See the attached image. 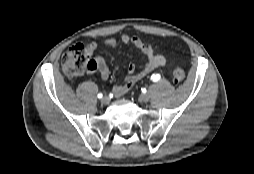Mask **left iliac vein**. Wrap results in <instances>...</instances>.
Instances as JSON below:
<instances>
[{
  "instance_id": "1",
  "label": "left iliac vein",
  "mask_w": 254,
  "mask_h": 174,
  "mask_svg": "<svg viewBox=\"0 0 254 174\" xmlns=\"http://www.w3.org/2000/svg\"><path fill=\"white\" fill-rule=\"evenodd\" d=\"M139 99H140V101H142V102H148L149 99H150V97H149L148 94H142V95H140Z\"/></svg>"
}]
</instances>
